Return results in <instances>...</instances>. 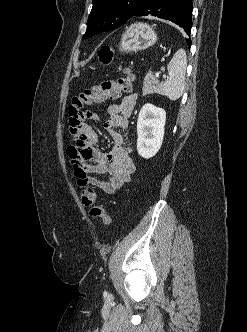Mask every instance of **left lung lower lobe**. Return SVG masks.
<instances>
[{
  "label": "left lung lower lobe",
  "instance_id": "obj_1",
  "mask_svg": "<svg viewBox=\"0 0 247 332\" xmlns=\"http://www.w3.org/2000/svg\"><path fill=\"white\" fill-rule=\"evenodd\" d=\"M192 0H146L134 16H155L170 20L184 29L188 36L192 27ZM191 46V39H185Z\"/></svg>",
  "mask_w": 247,
  "mask_h": 332
}]
</instances>
